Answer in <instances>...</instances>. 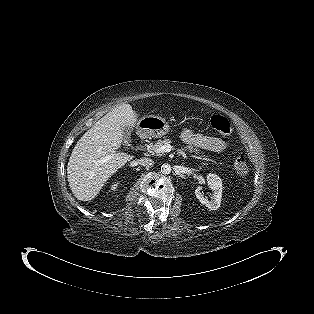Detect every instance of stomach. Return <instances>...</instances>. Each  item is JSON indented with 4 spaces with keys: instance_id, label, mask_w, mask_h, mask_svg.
Instances as JSON below:
<instances>
[{
    "instance_id": "obj_1",
    "label": "stomach",
    "mask_w": 314,
    "mask_h": 314,
    "mask_svg": "<svg viewBox=\"0 0 314 314\" xmlns=\"http://www.w3.org/2000/svg\"><path fill=\"white\" fill-rule=\"evenodd\" d=\"M137 127L142 134L156 138L168 134L171 129L164 118L155 115H148L141 118Z\"/></svg>"
}]
</instances>
